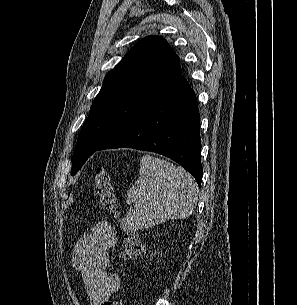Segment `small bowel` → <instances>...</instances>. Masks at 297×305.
Listing matches in <instances>:
<instances>
[{"label": "small bowel", "mask_w": 297, "mask_h": 305, "mask_svg": "<svg viewBox=\"0 0 297 305\" xmlns=\"http://www.w3.org/2000/svg\"><path fill=\"white\" fill-rule=\"evenodd\" d=\"M117 235L107 221H98L91 232L75 244L71 256L73 268L84 281L90 305H104L119 291L121 281L108 271L110 251L116 245Z\"/></svg>", "instance_id": "small-bowel-1"}]
</instances>
